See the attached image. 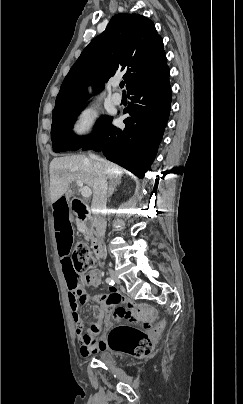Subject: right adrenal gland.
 Segmentation results:
<instances>
[{
  "label": "right adrenal gland",
  "instance_id": "right-adrenal-gland-1",
  "mask_svg": "<svg viewBox=\"0 0 243 404\" xmlns=\"http://www.w3.org/2000/svg\"><path fill=\"white\" fill-rule=\"evenodd\" d=\"M119 184H121V178H119V180H110V184L108 186V190H107V198H110V196H113L117 186H119Z\"/></svg>",
  "mask_w": 243,
  "mask_h": 404
}]
</instances>
